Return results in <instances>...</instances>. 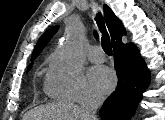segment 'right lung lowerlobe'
Returning a JSON list of instances; mask_svg holds the SVG:
<instances>
[{
	"instance_id": "right-lung-lower-lobe-1",
	"label": "right lung lower lobe",
	"mask_w": 165,
	"mask_h": 120,
	"mask_svg": "<svg viewBox=\"0 0 165 120\" xmlns=\"http://www.w3.org/2000/svg\"><path fill=\"white\" fill-rule=\"evenodd\" d=\"M114 62L118 76V85L104 102L100 114L103 120H128L134 114L142 93L150 82V72L138 49L133 43L115 44ZM111 112L105 117L102 111Z\"/></svg>"
}]
</instances>
